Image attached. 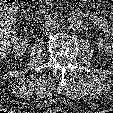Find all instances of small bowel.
Instances as JSON below:
<instances>
[{"mask_svg":"<svg viewBox=\"0 0 113 113\" xmlns=\"http://www.w3.org/2000/svg\"><path fill=\"white\" fill-rule=\"evenodd\" d=\"M89 20L104 33L113 36V23L111 24L104 17L96 13H90L88 15Z\"/></svg>","mask_w":113,"mask_h":113,"instance_id":"obj_1","label":"small bowel"}]
</instances>
